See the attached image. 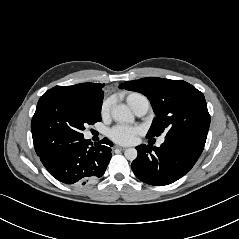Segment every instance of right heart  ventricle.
<instances>
[{
  "instance_id": "obj_1",
  "label": "right heart ventricle",
  "mask_w": 239,
  "mask_h": 239,
  "mask_svg": "<svg viewBox=\"0 0 239 239\" xmlns=\"http://www.w3.org/2000/svg\"><path fill=\"white\" fill-rule=\"evenodd\" d=\"M144 97L140 93L137 92H131L126 96V101L128 105L134 110L136 107V104L140 98Z\"/></svg>"
}]
</instances>
